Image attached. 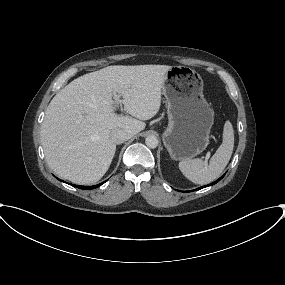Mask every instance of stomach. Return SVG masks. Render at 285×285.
Returning <instances> with one entry per match:
<instances>
[{
    "label": "stomach",
    "instance_id": "stomach-1",
    "mask_svg": "<svg viewBox=\"0 0 285 285\" xmlns=\"http://www.w3.org/2000/svg\"><path fill=\"white\" fill-rule=\"evenodd\" d=\"M162 93L168 113L163 143L173 160H190L206 149L214 122V112L203 95V80L191 68L172 66Z\"/></svg>",
    "mask_w": 285,
    "mask_h": 285
}]
</instances>
